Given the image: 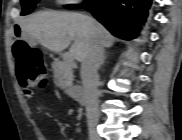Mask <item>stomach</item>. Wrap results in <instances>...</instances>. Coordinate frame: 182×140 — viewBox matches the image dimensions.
I'll list each match as a JSON object with an SVG mask.
<instances>
[{
  "label": "stomach",
  "instance_id": "obj_1",
  "mask_svg": "<svg viewBox=\"0 0 182 140\" xmlns=\"http://www.w3.org/2000/svg\"><path fill=\"white\" fill-rule=\"evenodd\" d=\"M12 30H23V25H18V23H15V25L11 26ZM15 40L16 41H28L29 44L33 45L35 43V40L32 39V36H26V31H15L14 32Z\"/></svg>",
  "mask_w": 182,
  "mask_h": 140
}]
</instances>
